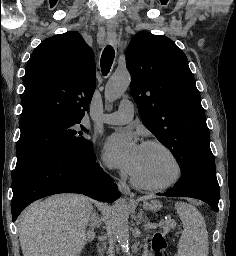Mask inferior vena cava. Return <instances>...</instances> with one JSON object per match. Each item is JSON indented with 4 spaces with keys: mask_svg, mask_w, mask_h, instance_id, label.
I'll return each mask as SVG.
<instances>
[{
    "mask_svg": "<svg viewBox=\"0 0 236 256\" xmlns=\"http://www.w3.org/2000/svg\"><path fill=\"white\" fill-rule=\"evenodd\" d=\"M98 252H99V256H102L103 250H101V248H98Z\"/></svg>",
    "mask_w": 236,
    "mask_h": 256,
    "instance_id": "inferior-vena-cava-1",
    "label": "inferior vena cava"
}]
</instances>
